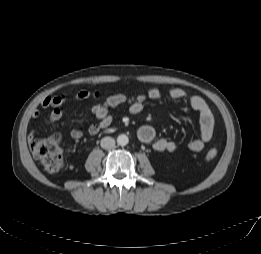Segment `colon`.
<instances>
[{"label": "colon", "instance_id": "colon-1", "mask_svg": "<svg viewBox=\"0 0 261 254\" xmlns=\"http://www.w3.org/2000/svg\"><path fill=\"white\" fill-rule=\"evenodd\" d=\"M61 141V135L52 134L42 139H34L30 142L32 154L48 171L57 172L65 167ZM216 156V147H211L205 155V160L211 162Z\"/></svg>", "mask_w": 261, "mask_h": 254}]
</instances>
